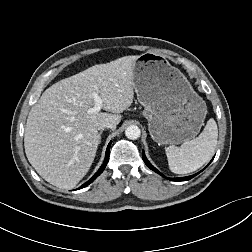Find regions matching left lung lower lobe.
<instances>
[{
    "label": "left lung lower lobe",
    "mask_w": 252,
    "mask_h": 252,
    "mask_svg": "<svg viewBox=\"0 0 252 252\" xmlns=\"http://www.w3.org/2000/svg\"><path fill=\"white\" fill-rule=\"evenodd\" d=\"M142 158L145 162V164L151 169L153 170L154 172L158 173L161 175V173L148 161V159L146 158L145 156V153L144 151L142 152ZM198 174V173H197ZM197 174H194V175H191V176H187V177H180V178H168L169 180H172V181H186V180H190L191 178H193L195 175Z\"/></svg>",
    "instance_id": "1"
}]
</instances>
